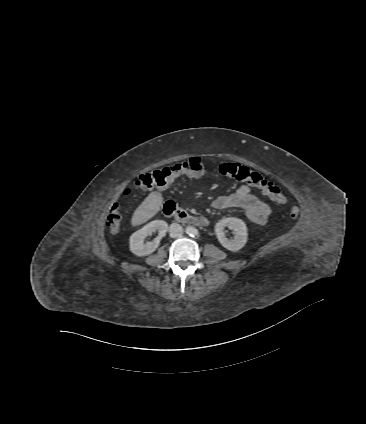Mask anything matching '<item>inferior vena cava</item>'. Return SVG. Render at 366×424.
Segmentation results:
<instances>
[{
  "instance_id": "1",
  "label": "inferior vena cava",
  "mask_w": 366,
  "mask_h": 424,
  "mask_svg": "<svg viewBox=\"0 0 366 424\" xmlns=\"http://www.w3.org/2000/svg\"><path fill=\"white\" fill-rule=\"evenodd\" d=\"M170 230V237L172 238H179L183 234V228L178 223H172L169 227Z\"/></svg>"
}]
</instances>
